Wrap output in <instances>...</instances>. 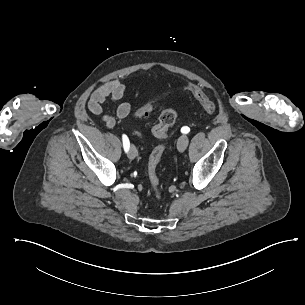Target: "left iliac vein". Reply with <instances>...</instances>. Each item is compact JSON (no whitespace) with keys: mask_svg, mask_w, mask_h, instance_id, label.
Wrapping results in <instances>:
<instances>
[{"mask_svg":"<svg viewBox=\"0 0 305 305\" xmlns=\"http://www.w3.org/2000/svg\"><path fill=\"white\" fill-rule=\"evenodd\" d=\"M189 143V139L186 135H182L179 137L178 141H177V148L179 151H184Z\"/></svg>","mask_w":305,"mask_h":305,"instance_id":"4c4485c4","label":"left iliac vein"}]
</instances>
